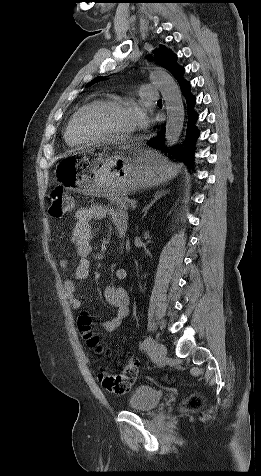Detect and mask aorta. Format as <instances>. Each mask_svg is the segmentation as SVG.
<instances>
[{"label":"aorta","mask_w":261,"mask_h":476,"mask_svg":"<svg viewBox=\"0 0 261 476\" xmlns=\"http://www.w3.org/2000/svg\"><path fill=\"white\" fill-rule=\"evenodd\" d=\"M150 80L161 92L166 105L165 143L167 146H174L179 140L184 123L181 91L173 77L165 71H153Z\"/></svg>","instance_id":"1"}]
</instances>
